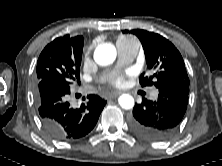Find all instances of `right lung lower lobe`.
<instances>
[{"label": "right lung lower lobe", "instance_id": "1", "mask_svg": "<svg viewBox=\"0 0 222 166\" xmlns=\"http://www.w3.org/2000/svg\"><path fill=\"white\" fill-rule=\"evenodd\" d=\"M70 83L51 76L38 81L35 92L39 115L47 133L56 140L70 141L87 135L96 125L106 101L88 95V101L72 108L66 101Z\"/></svg>", "mask_w": 222, "mask_h": 166}]
</instances>
